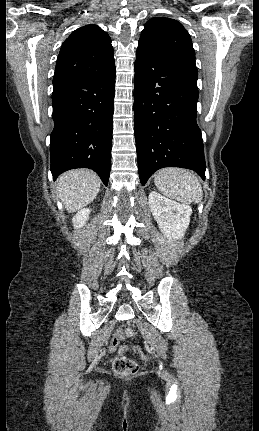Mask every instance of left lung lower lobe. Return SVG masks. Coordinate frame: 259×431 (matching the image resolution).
Listing matches in <instances>:
<instances>
[{"mask_svg":"<svg viewBox=\"0 0 259 431\" xmlns=\"http://www.w3.org/2000/svg\"><path fill=\"white\" fill-rule=\"evenodd\" d=\"M134 68V131L141 184L163 167L191 169L204 180V148L196 122L198 73L141 45Z\"/></svg>","mask_w":259,"mask_h":431,"instance_id":"0a47b994","label":"left lung lower lobe"}]
</instances>
